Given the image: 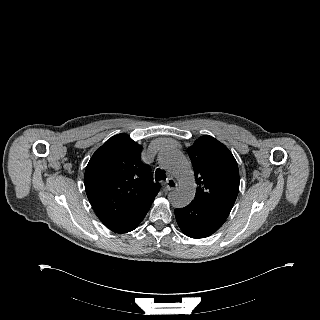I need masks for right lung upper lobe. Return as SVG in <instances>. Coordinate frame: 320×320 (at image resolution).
Instances as JSON below:
<instances>
[{
	"label": "right lung upper lobe",
	"instance_id": "cb5924a9",
	"mask_svg": "<svg viewBox=\"0 0 320 320\" xmlns=\"http://www.w3.org/2000/svg\"><path fill=\"white\" fill-rule=\"evenodd\" d=\"M141 151V145L121 133L106 141L90 159L84 185L102 222L148 210L153 203L159 185L141 162Z\"/></svg>",
	"mask_w": 320,
	"mask_h": 320
}]
</instances>
